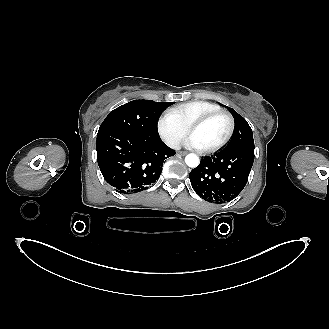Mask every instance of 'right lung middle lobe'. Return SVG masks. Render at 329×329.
I'll return each instance as SVG.
<instances>
[{
	"label": "right lung middle lobe",
	"instance_id": "right-lung-middle-lobe-1",
	"mask_svg": "<svg viewBox=\"0 0 329 329\" xmlns=\"http://www.w3.org/2000/svg\"><path fill=\"white\" fill-rule=\"evenodd\" d=\"M174 102L134 100L111 111L99 131H122L160 138L157 121L160 114Z\"/></svg>",
	"mask_w": 329,
	"mask_h": 329
}]
</instances>
